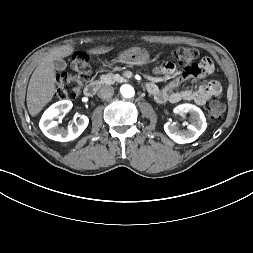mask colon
Wrapping results in <instances>:
<instances>
[{"label": "colon", "mask_w": 253, "mask_h": 253, "mask_svg": "<svg viewBox=\"0 0 253 253\" xmlns=\"http://www.w3.org/2000/svg\"><path fill=\"white\" fill-rule=\"evenodd\" d=\"M198 58V51L193 48L181 47L173 51L172 59L175 65L183 66ZM95 73L99 77H106L110 73V66L106 62H99L95 66ZM94 75L93 67L88 56L84 53L73 55L69 63V72L59 76L56 87V98L59 100H71L77 97L81 88ZM210 119H220L225 106L217 99L208 104Z\"/></svg>", "instance_id": "colon-1"}]
</instances>
